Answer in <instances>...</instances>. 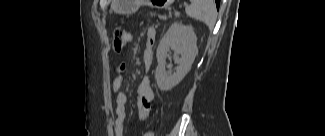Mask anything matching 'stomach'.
<instances>
[{
    "label": "stomach",
    "instance_id": "0dacf381",
    "mask_svg": "<svg viewBox=\"0 0 325 136\" xmlns=\"http://www.w3.org/2000/svg\"><path fill=\"white\" fill-rule=\"evenodd\" d=\"M173 0H113L114 11L120 14L134 13L142 3H146L154 8L163 9L171 5Z\"/></svg>",
    "mask_w": 325,
    "mask_h": 136
}]
</instances>
